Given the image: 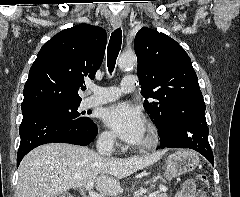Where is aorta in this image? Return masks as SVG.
Listing matches in <instances>:
<instances>
[{"label": "aorta", "instance_id": "aorta-1", "mask_svg": "<svg viewBox=\"0 0 240 197\" xmlns=\"http://www.w3.org/2000/svg\"><path fill=\"white\" fill-rule=\"evenodd\" d=\"M136 64V56L134 54H122L118 59V66L121 69L134 67Z\"/></svg>", "mask_w": 240, "mask_h": 197}]
</instances>
